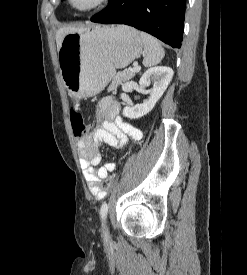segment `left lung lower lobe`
<instances>
[{
	"label": "left lung lower lobe",
	"instance_id": "left-lung-lower-lobe-1",
	"mask_svg": "<svg viewBox=\"0 0 247 275\" xmlns=\"http://www.w3.org/2000/svg\"><path fill=\"white\" fill-rule=\"evenodd\" d=\"M186 0H111L91 18L102 24H125L180 48Z\"/></svg>",
	"mask_w": 247,
	"mask_h": 275
}]
</instances>
